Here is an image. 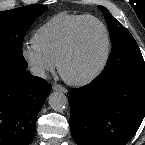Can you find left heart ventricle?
I'll list each match as a JSON object with an SVG mask.
<instances>
[{
    "label": "left heart ventricle",
    "instance_id": "1",
    "mask_svg": "<svg viewBox=\"0 0 145 145\" xmlns=\"http://www.w3.org/2000/svg\"><path fill=\"white\" fill-rule=\"evenodd\" d=\"M106 49V38L102 27L86 22L80 30L78 45L64 65V71L71 78H80L92 72L102 61Z\"/></svg>",
    "mask_w": 145,
    "mask_h": 145
}]
</instances>
